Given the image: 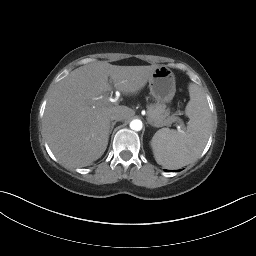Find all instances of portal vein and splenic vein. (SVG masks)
<instances>
[{"label":"portal vein and splenic vein","mask_w":256,"mask_h":256,"mask_svg":"<svg viewBox=\"0 0 256 256\" xmlns=\"http://www.w3.org/2000/svg\"><path fill=\"white\" fill-rule=\"evenodd\" d=\"M177 121L179 122L178 130L181 131V127L183 126V121L178 118Z\"/></svg>","instance_id":"1"}]
</instances>
